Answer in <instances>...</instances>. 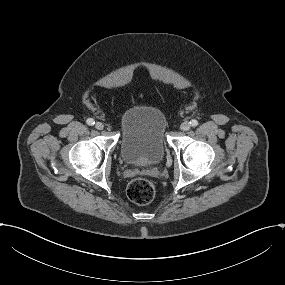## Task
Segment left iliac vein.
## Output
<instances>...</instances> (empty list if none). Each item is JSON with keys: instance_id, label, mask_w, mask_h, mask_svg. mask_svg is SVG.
Returning a JSON list of instances; mask_svg holds the SVG:
<instances>
[{"instance_id": "left-iliac-vein-1", "label": "left iliac vein", "mask_w": 285, "mask_h": 285, "mask_svg": "<svg viewBox=\"0 0 285 285\" xmlns=\"http://www.w3.org/2000/svg\"><path fill=\"white\" fill-rule=\"evenodd\" d=\"M191 125L188 121H184L181 125H180V129L183 131H188L190 129Z\"/></svg>"}]
</instances>
